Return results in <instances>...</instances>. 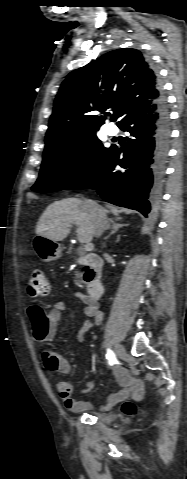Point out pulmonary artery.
<instances>
[{
	"label": "pulmonary artery",
	"instance_id": "obj_1",
	"mask_svg": "<svg viewBox=\"0 0 187 479\" xmlns=\"http://www.w3.org/2000/svg\"><path fill=\"white\" fill-rule=\"evenodd\" d=\"M117 132H118V131H117V129H116L115 126H113V125L108 126V128H107V133H108L109 135L114 136V135L117 134Z\"/></svg>",
	"mask_w": 187,
	"mask_h": 479
}]
</instances>
